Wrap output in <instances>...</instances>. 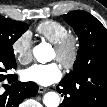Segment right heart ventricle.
Instances as JSON below:
<instances>
[{"mask_svg":"<svg viewBox=\"0 0 107 107\" xmlns=\"http://www.w3.org/2000/svg\"><path fill=\"white\" fill-rule=\"evenodd\" d=\"M36 32L45 40L56 44L69 33V29L58 21L46 20L38 24Z\"/></svg>","mask_w":107,"mask_h":107,"instance_id":"right-heart-ventricle-1","label":"right heart ventricle"}]
</instances>
